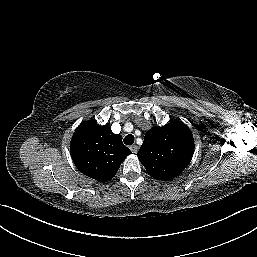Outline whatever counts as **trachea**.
I'll list each match as a JSON object with an SVG mask.
<instances>
[{
	"label": "trachea",
	"instance_id": "1",
	"mask_svg": "<svg viewBox=\"0 0 257 257\" xmlns=\"http://www.w3.org/2000/svg\"><path fill=\"white\" fill-rule=\"evenodd\" d=\"M134 140H135V138H134V136L132 135V134H129V135H127L125 138H124V143L126 144V145H131V144H133L134 143Z\"/></svg>",
	"mask_w": 257,
	"mask_h": 257
}]
</instances>
